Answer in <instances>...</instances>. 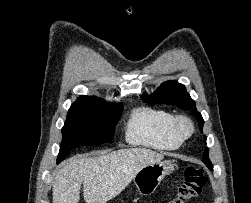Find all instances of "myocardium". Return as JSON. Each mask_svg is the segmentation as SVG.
Wrapping results in <instances>:
<instances>
[{
    "mask_svg": "<svg viewBox=\"0 0 251 203\" xmlns=\"http://www.w3.org/2000/svg\"><path fill=\"white\" fill-rule=\"evenodd\" d=\"M174 128L183 139L190 137L194 131L193 122L184 115L175 118Z\"/></svg>",
    "mask_w": 251,
    "mask_h": 203,
    "instance_id": "myocardium-1",
    "label": "myocardium"
}]
</instances>
